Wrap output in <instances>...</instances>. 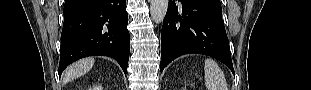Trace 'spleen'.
I'll return each mask as SVG.
<instances>
[{"label":"spleen","mask_w":311,"mask_h":90,"mask_svg":"<svg viewBox=\"0 0 311 90\" xmlns=\"http://www.w3.org/2000/svg\"><path fill=\"white\" fill-rule=\"evenodd\" d=\"M204 70L208 90H228L225 75L214 60L206 59Z\"/></svg>","instance_id":"obj_1"}]
</instances>
